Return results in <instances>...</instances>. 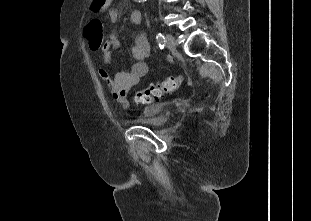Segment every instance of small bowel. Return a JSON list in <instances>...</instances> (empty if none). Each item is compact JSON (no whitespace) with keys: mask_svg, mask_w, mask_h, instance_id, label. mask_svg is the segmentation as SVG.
I'll list each match as a JSON object with an SVG mask.
<instances>
[{"mask_svg":"<svg viewBox=\"0 0 311 221\" xmlns=\"http://www.w3.org/2000/svg\"><path fill=\"white\" fill-rule=\"evenodd\" d=\"M109 17L112 21H116L120 11L116 7L108 10ZM131 21L134 24H140L143 21V15L139 10L131 13ZM90 22V21H89ZM85 29H88V24ZM118 34L111 31L108 34L107 41L102 46L103 61L106 65H110L113 61V53L118 46ZM152 54L151 46L145 34L140 33L135 37L132 47V56L136 60L128 71H119L111 78L105 69L99 71V76L103 83L107 86L114 100L124 106H128V95L137 85L140 78L145 76L149 71V65L144 61Z\"/></svg>","mask_w":311,"mask_h":221,"instance_id":"small-bowel-1","label":"small bowel"}]
</instances>
